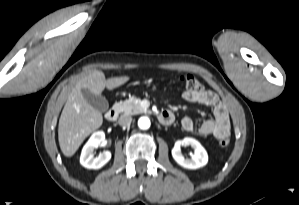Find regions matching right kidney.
Segmentation results:
<instances>
[{"label": "right kidney", "instance_id": "1", "mask_svg": "<svg viewBox=\"0 0 299 205\" xmlns=\"http://www.w3.org/2000/svg\"><path fill=\"white\" fill-rule=\"evenodd\" d=\"M104 139L105 134L103 131H97L92 134L81 152L80 163L82 166L88 169H99L111 159V152L109 151H104L97 157H94V149L97 148Z\"/></svg>", "mask_w": 299, "mask_h": 205}]
</instances>
